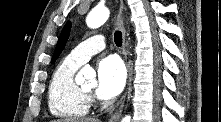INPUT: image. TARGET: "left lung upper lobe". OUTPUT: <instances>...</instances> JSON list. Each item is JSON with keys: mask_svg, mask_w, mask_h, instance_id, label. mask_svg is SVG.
<instances>
[{"mask_svg": "<svg viewBox=\"0 0 221 122\" xmlns=\"http://www.w3.org/2000/svg\"><path fill=\"white\" fill-rule=\"evenodd\" d=\"M70 28H71V23L68 22L62 32H61V35H60V38L58 40V43L56 45V48H55V51H54V54H53V58H52V61L51 63L55 62L56 59L59 57L60 53L62 52L66 42H67V39L69 37V33H70Z\"/></svg>", "mask_w": 221, "mask_h": 122, "instance_id": "left-lung-upper-lobe-1", "label": "left lung upper lobe"}]
</instances>
